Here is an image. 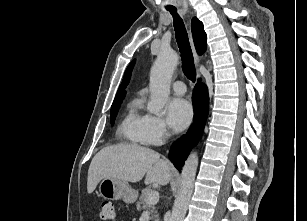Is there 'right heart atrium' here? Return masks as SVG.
<instances>
[{
  "label": "right heart atrium",
  "instance_id": "d8ad5b80",
  "mask_svg": "<svg viewBox=\"0 0 307 221\" xmlns=\"http://www.w3.org/2000/svg\"><path fill=\"white\" fill-rule=\"evenodd\" d=\"M145 118L149 144L157 145L164 142L170 134L165 121L161 117L152 114L145 115Z\"/></svg>",
  "mask_w": 307,
  "mask_h": 221
}]
</instances>
